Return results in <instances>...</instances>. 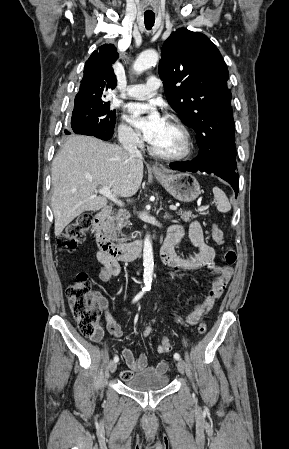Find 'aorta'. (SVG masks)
I'll return each mask as SVG.
<instances>
[{
  "mask_svg": "<svg viewBox=\"0 0 289 449\" xmlns=\"http://www.w3.org/2000/svg\"><path fill=\"white\" fill-rule=\"evenodd\" d=\"M159 56L155 50H147L139 55L133 64V69L137 74L144 72L158 62ZM143 281L146 287L150 288L153 280L154 258L153 248L149 236H146L143 247Z\"/></svg>",
  "mask_w": 289,
  "mask_h": 449,
  "instance_id": "obj_1",
  "label": "aorta"
}]
</instances>
